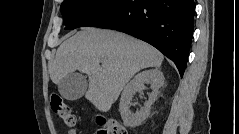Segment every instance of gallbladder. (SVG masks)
<instances>
[{
	"label": "gallbladder",
	"instance_id": "obj_1",
	"mask_svg": "<svg viewBox=\"0 0 239 134\" xmlns=\"http://www.w3.org/2000/svg\"><path fill=\"white\" fill-rule=\"evenodd\" d=\"M86 77L79 73L66 75L58 84L60 95L66 100H77L81 98L87 90Z\"/></svg>",
	"mask_w": 239,
	"mask_h": 134
}]
</instances>
